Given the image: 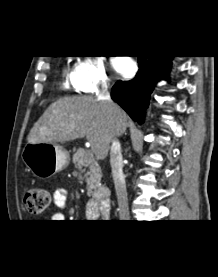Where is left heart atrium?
<instances>
[{"label":"left heart atrium","mask_w":218,"mask_h":277,"mask_svg":"<svg viewBox=\"0 0 218 277\" xmlns=\"http://www.w3.org/2000/svg\"><path fill=\"white\" fill-rule=\"evenodd\" d=\"M114 69L121 74L126 73L130 68V62L125 59L116 58L113 60Z\"/></svg>","instance_id":"39dd6f15"}]
</instances>
